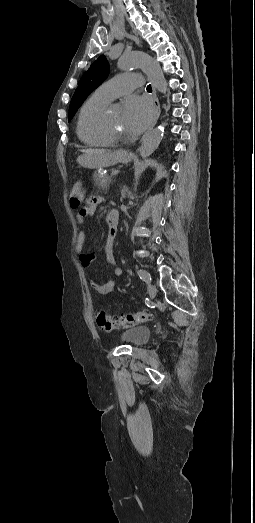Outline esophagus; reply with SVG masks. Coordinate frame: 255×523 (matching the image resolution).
<instances>
[{
  "mask_svg": "<svg viewBox=\"0 0 255 523\" xmlns=\"http://www.w3.org/2000/svg\"><path fill=\"white\" fill-rule=\"evenodd\" d=\"M152 91H153V103H154V107H155V113H154V116H153V120H152L148 130L143 135L141 141L146 137V135H148L149 132H151L152 128L157 123V120H158L159 115H160V104H159V100L157 98L156 89H155V87L153 85H152Z\"/></svg>",
  "mask_w": 255,
  "mask_h": 523,
  "instance_id": "esophagus-1",
  "label": "esophagus"
}]
</instances>
